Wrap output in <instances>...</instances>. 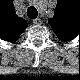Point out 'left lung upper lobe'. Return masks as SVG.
<instances>
[{
    "instance_id": "5c2ea615",
    "label": "left lung upper lobe",
    "mask_w": 80,
    "mask_h": 80,
    "mask_svg": "<svg viewBox=\"0 0 80 80\" xmlns=\"http://www.w3.org/2000/svg\"><path fill=\"white\" fill-rule=\"evenodd\" d=\"M50 24L54 32L62 40L68 41L77 35L76 19L64 0L59 2L54 18L50 19Z\"/></svg>"
}]
</instances>
